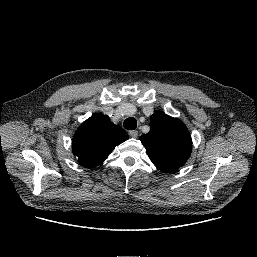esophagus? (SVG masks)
Returning a JSON list of instances; mask_svg holds the SVG:
<instances>
[{
  "label": "esophagus",
  "instance_id": "obj_1",
  "mask_svg": "<svg viewBox=\"0 0 257 257\" xmlns=\"http://www.w3.org/2000/svg\"><path fill=\"white\" fill-rule=\"evenodd\" d=\"M129 135L133 138H136L138 136V131L137 130L129 131Z\"/></svg>",
  "mask_w": 257,
  "mask_h": 257
}]
</instances>
